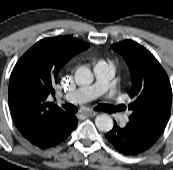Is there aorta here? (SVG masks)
Instances as JSON below:
<instances>
[{
    "label": "aorta",
    "instance_id": "obj_1",
    "mask_svg": "<svg viewBox=\"0 0 173 170\" xmlns=\"http://www.w3.org/2000/svg\"><path fill=\"white\" fill-rule=\"evenodd\" d=\"M77 80L84 85H89L93 82L94 76L91 70L87 67H80L76 71ZM95 125L102 132H109L114 126L113 119L108 114H100L95 119Z\"/></svg>",
    "mask_w": 173,
    "mask_h": 170
}]
</instances>
